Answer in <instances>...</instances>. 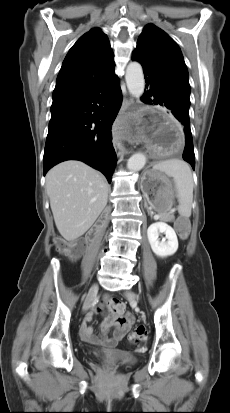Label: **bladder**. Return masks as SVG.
I'll use <instances>...</instances> for the list:
<instances>
[{
	"instance_id": "31cf9c89",
	"label": "bladder",
	"mask_w": 230,
	"mask_h": 413,
	"mask_svg": "<svg viewBox=\"0 0 230 413\" xmlns=\"http://www.w3.org/2000/svg\"><path fill=\"white\" fill-rule=\"evenodd\" d=\"M113 356L116 358V362L120 366H131L137 363L138 358L132 354L112 351Z\"/></svg>"
}]
</instances>
